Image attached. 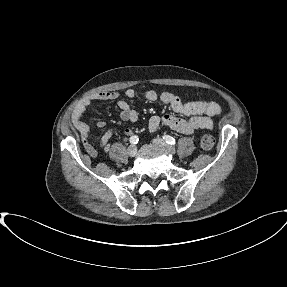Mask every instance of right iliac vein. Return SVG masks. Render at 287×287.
<instances>
[{
  "instance_id": "right-iliac-vein-1",
  "label": "right iliac vein",
  "mask_w": 287,
  "mask_h": 287,
  "mask_svg": "<svg viewBox=\"0 0 287 287\" xmlns=\"http://www.w3.org/2000/svg\"><path fill=\"white\" fill-rule=\"evenodd\" d=\"M137 153V148L135 145H130L127 149V154L130 156V157H134Z\"/></svg>"
}]
</instances>
